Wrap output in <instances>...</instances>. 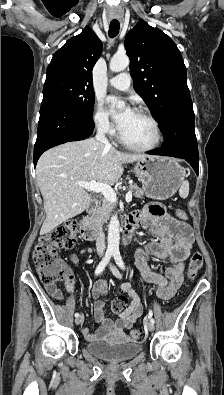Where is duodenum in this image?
<instances>
[{
  "label": "duodenum",
  "mask_w": 224,
  "mask_h": 395,
  "mask_svg": "<svg viewBox=\"0 0 224 395\" xmlns=\"http://www.w3.org/2000/svg\"><path fill=\"white\" fill-rule=\"evenodd\" d=\"M98 203V199H92L89 207L86 210V215L79 222L80 234L84 240L94 241L98 236V229L94 226L90 219V214L93 212L95 206ZM137 215L135 213L130 214L122 224V242L124 245H128L135 232Z\"/></svg>",
  "instance_id": "obj_1"
}]
</instances>
